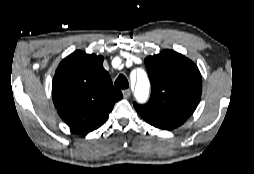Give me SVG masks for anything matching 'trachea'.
<instances>
[{"label":"trachea","mask_w":254,"mask_h":174,"mask_svg":"<svg viewBox=\"0 0 254 174\" xmlns=\"http://www.w3.org/2000/svg\"><path fill=\"white\" fill-rule=\"evenodd\" d=\"M114 85L120 89H127L129 87L127 78L122 74L117 77Z\"/></svg>","instance_id":"3493384b"}]
</instances>
